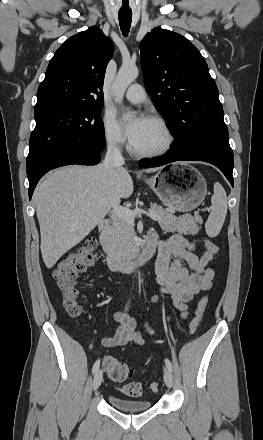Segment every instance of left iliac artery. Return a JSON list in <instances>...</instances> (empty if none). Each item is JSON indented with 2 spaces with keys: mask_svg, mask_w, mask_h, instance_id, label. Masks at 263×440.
<instances>
[{
  "mask_svg": "<svg viewBox=\"0 0 263 440\" xmlns=\"http://www.w3.org/2000/svg\"><path fill=\"white\" fill-rule=\"evenodd\" d=\"M165 364H166V367H167L170 371H172V364H171V362H170L168 359H165Z\"/></svg>",
  "mask_w": 263,
  "mask_h": 440,
  "instance_id": "obj_1",
  "label": "left iliac artery"
}]
</instances>
